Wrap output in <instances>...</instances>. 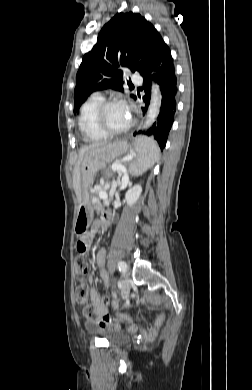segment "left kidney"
I'll list each match as a JSON object with an SVG mask.
<instances>
[{
    "label": "left kidney",
    "mask_w": 252,
    "mask_h": 390,
    "mask_svg": "<svg viewBox=\"0 0 252 390\" xmlns=\"http://www.w3.org/2000/svg\"><path fill=\"white\" fill-rule=\"evenodd\" d=\"M142 192V187L141 185H135L131 187L125 195V201L129 206H133L137 200L140 197V194Z\"/></svg>",
    "instance_id": "5707ae66"
}]
</instances>
